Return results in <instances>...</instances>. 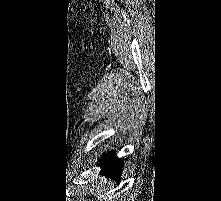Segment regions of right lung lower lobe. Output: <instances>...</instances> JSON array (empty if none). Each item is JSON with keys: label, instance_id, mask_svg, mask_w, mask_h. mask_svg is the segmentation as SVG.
<instances>
[{"label": "right lung lower lobe", "instance_id": "98d812e1", "mask_svg": "<svg viewBox=\"0 0 221 201\" xmlns=\"http://www.w3.org/2000/svg\"><path fill=\"white\" fill-rule=\"evenodd\" d=\"M99 165L102 167V174L118 180L119 174L122 173L123 160L117 158L114 154L106 153L100 159Z\"/></svg>", "mask_w": 221, "mask_h": 201}]
</instances>
